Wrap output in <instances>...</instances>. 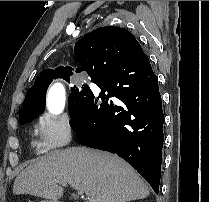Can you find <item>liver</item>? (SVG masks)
<instances>
[{
  "instance_id": "1",
  "label": "liver",
  "mask_w": 209,
  "mask_h": 202,
  "mask_svg": "<svg viewBox=\"0 0 209 202\" xmlns=\"http://www.w3.org/2000/svg\"><path fill=\"white\" fill-rule=\"evenodd\" d=\"M63 180L81 189L88 202H128L149 195V188L132 167L116 155L72 147L40 157L15 179L13 193L56 201L63 195Z\"/></svg>"
}]
</instances>
